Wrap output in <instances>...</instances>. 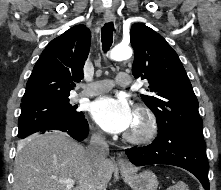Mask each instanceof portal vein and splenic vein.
I'll return each mask as SVG.
<instances>
[{
    "label": "portal vein and splenic vein",
    "instance_id": "18ae733b",
    "mask_svg": "<svg viewBox=\"0 0 221 190\" xmlns=\"http://www.w3.org/2000/svg\"><path fill=\"white\" fill-rule=\"evenodd\" d=\"M59 182L65 184L67 187H73L75 184V180L71 178L61 179Z\"/></svg>",
    "mask_w": 221,
    "mask_h": 190
}]
</instances>
